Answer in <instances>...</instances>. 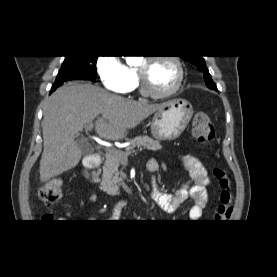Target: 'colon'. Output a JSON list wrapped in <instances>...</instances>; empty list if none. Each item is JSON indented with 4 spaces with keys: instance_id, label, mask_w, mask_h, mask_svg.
Returning <instances> with one entry per match:
<instances>
[{
    "instance_id": "5ec220e1",
    "label": "colon",
    "mask_w": 277,
    "mask_h": 277,
    "mask_svg": "<svg viewBox=\"0 0 277 277\" xmlns=\"http://www.w3.org/2000/svg\"><path fill=\"white\" fill-rule=\"evenodd\" d=\"M191 131L193 136L201 144H210L215 137L214 126L207 113H195L192 123ZM214 175L218 180L220 193L219 203L216 207L214 219L216 222H226L232 214L233 210V188L232 181L227 171L221 168L214 170ZM62 181L53 179L43 184L39 189L40 199L47 205L55 204L62 196ZM45 221H52L53 215L51 213L45 214L43 217Z\"/></svg>"
}]
</instances>
